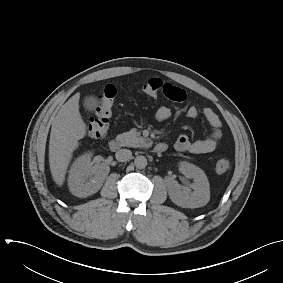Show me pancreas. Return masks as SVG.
<instances>
[{
  "label": "pancreas",
  "instance_id": "pancreas-1",
  "mask_svg": "<svg viewBox=\"0 0 283 283\" xmlns=\"http://www.w3.org/2000/svg\"><path fill=\"white\" fill-rule=\"evenodd\" d=\"M117 140L121 142L122 146L127 147H147L151 143L147 139L140 136V133L136 129H131L129 132L119 134Z\"/></svg>",
  "mask_w": 283,
  "mask_h": 283
}]
</instances>
